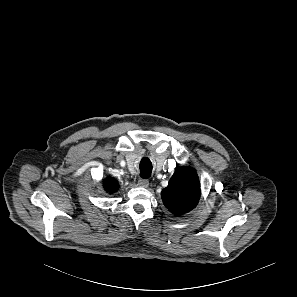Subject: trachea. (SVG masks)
Instances as JSON below:
<instances>
[{"instance_id": "obj_1", "label": "trachea", "mask_w": 297, "mask_h": 297, "mask_svg": "<svg viewBox=\"0 0 297 297\" xmlns=\"http://www.w3.org/2000/svg\"><path fill=\"white\" fill-rule=\"evenodd\" d=\"M152 164L148 158H143L140 162V176L147 179L151 176Z\"/></svg>"}]
</instances>
